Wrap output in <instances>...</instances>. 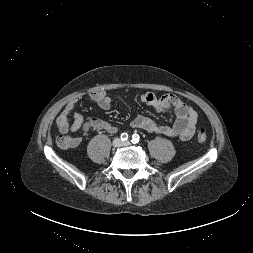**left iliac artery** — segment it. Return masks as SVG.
Listing matches in <instances>:
<instances>
[{
	"label": "left iliac artery",
	"instance_id": "obj_1",
	"mask_svg": "<svg viewBox=\"0 0 253 253\" xmlns=\"http://www.w3.org/2000/svg\"><path fill=\"white\" fill-rule=\"evenodd\" d=\"M139 139H140V137H139L138 134H133V136H132V143H133V144L138 143V142H139Z\"/></svg>",
	"mask_w": 253,
	"mask_h": 253
}]
</instances>
